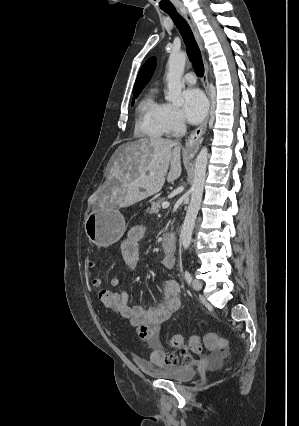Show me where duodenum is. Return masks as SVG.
I'll list each match as a JSON object with an SVG mask.
<instances>
[{
    "label": "duodenum",
    "instance_id": "obj_1",
    "mask_svg": "<svg viewBox=\"0 0 299 426\" xmlns=\"http://www.w3.org/2000/svg\"><path fill=\"white\" fill-rule=\"evenodd\" d=\"M162 247L166 257L170 259H175L176 243H175V238L172 234L166 233L164 235V238L162 241Z\"/></svg>",
    "mask_w": 299,
    "mask_h": 426
}]
</instances>
